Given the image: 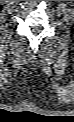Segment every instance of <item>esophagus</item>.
<instances>
[{"instance_id":"obj_1","label":"esophagus","mask_w":74,"mask_h":122,"mask_svg":"<svg viewBox=\"0 0 74 122\" xmlns=\"http://www.w3.org/2000/svg\"><path fill=\"white\" fill-rule=\"evenodd\" d=\"M30 4H35V1H30Z\"/></svg>"}]
</instances>
